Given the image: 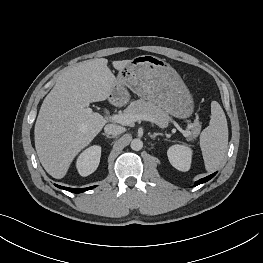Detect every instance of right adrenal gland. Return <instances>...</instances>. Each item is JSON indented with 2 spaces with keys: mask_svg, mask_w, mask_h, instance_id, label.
Wrapping results in <instances>:
<instances>
[{
  "mask_svg": "<svg viewBox=\"0 0 263 263\" xmlns=\"http://www.w3.org/2000/svg\"><path fill=\"white\" fill-rule=\"evenodd\" d=\"M102 135L106 136L107 138H113L114 136H110L109 134L102 133Z\"/></svg>",
  "mask_w": 263,
  "mask_h": 263,
  "instance_id": "right-adrenal-gland-1",
  "label": "right adrenal gland"
}]
</instances>
